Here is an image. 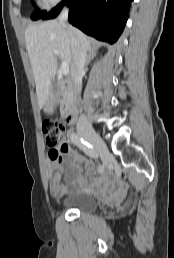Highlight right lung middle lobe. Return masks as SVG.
<instances>
[{
    "mask_svg": "<svg viewBox=\"0 0 174 258\" xmlns=\"http://www.w3.org/2000/svg\"><path fill=\"white\" fill-rule=\"evenodd\" d=\"M32 4L35 6V3L32 2ZM36 7V6H35ZM46 14L45 11L40 12L39 10H36L32 15H31V19L32 20H37L39 18H42L44 15Z\"/></svg>",
    "mask_w": 174,
    "mask_h": 258,
    "instance_id": "obj_1",
    "label": "right lung middle lobe"
}]
</instances>
